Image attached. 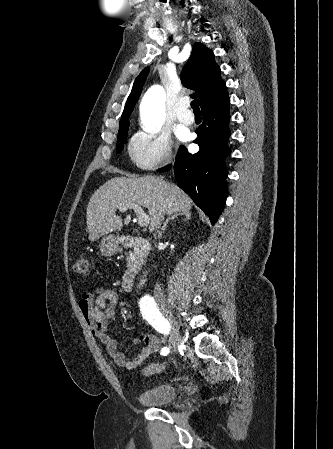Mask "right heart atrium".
<instances>
[{"label": "right heart atrium", "instance_id": "1", "mask_svg": "<svg viewBox=\"0 0 333 449\" xmlns=\"http://www.w3.org/2000/svg\"><path fill=\"white\" fill-rule=\"evenodd\" d=\"M133 163L142 170H153L172 159L170 138L163 133L138 132L128 146Z\"/></svg>", "mask_w": 333, "mask_h": 449}]
</instances>
